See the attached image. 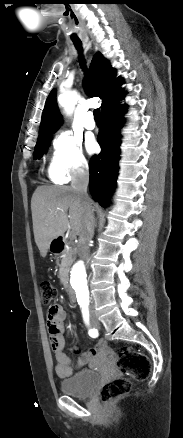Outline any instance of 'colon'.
I'll return each instance as SVG.
<instances>
[{
  "instance_id": "obj_1",
  "label": "colon",
  "mask_w": 183,
  "mask_h": 438,
  "mask_svg": "<svg viewBox=\"0 0 183 438\" xmlns=\"http://www.w3.org/2000/svg\"><path fill=\"white\" fill-rule=\"evenodd\" d=\"M41 300L44 305H49L54 300L56 289L49 281L40 284ZM117 368L130 378L143 381L148 378L151 371V364L148 357L133 348L123 347L116 362ZM132 388L129 378L119 377L104 384L100 389L99 396L104 403H111L128 394Z\"/></svg>"
}]
</instances>
